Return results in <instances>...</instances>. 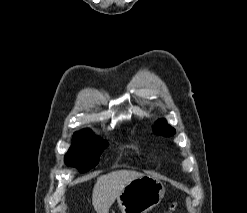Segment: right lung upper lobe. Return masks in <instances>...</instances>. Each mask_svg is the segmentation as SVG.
Returning a JSON list of instances; mask_svg holds the SVG:
<instances>
[{"label": "right lung upper lobe", "instance_id": "cb5924a9", "mask_svg": "<svg viewBox=\"0 0 247 213\" xmlns=\"http://www.w3.org/2000/svg\"><path fill=\"white\" fill-rule=\"evenodd\" d=\"M85 136H92L91 131L86 129V130H83V131H80V132H76L74 134V138L85 137Z\"/></svg>", "mask_w": 247, "mask_h": 213}]
</instances>
